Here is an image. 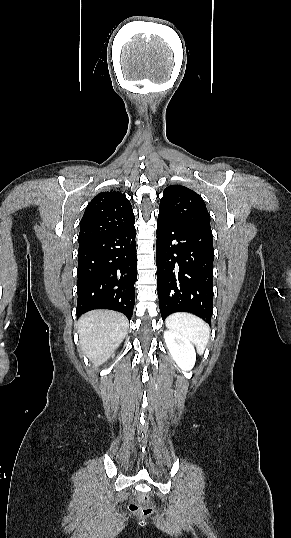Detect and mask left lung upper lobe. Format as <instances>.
<instances>
[{"instance_id": "1", "label": "left lung upper lobe", "mask_w": 291, "mask_h": 538, "mask_svg": "<svg viewBox=\"0 0 291 538\" xmlns=\"http://www.w3.org/2000/svg\"><path fill=\"white\" fill-rule=\"evenodd\" d=\"M159 214L190 227L211 231L210 215L204 200L182 185H171L163 191Z\"/></svg>"}]
</instances>
